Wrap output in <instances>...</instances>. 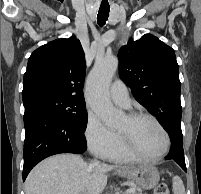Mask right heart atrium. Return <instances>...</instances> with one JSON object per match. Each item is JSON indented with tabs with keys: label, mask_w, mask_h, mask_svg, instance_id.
Here are the masks:
<instances>
[{
	"label": "right heart atrium",
	"mask_w": 201,
	"mask_h": 194,
	"mask_svg": "<svg viewBox=\"0 0 201 194\" xmlns=\"http://www.w3.org/2000/svg\"><path fill=\"white\" fill-rule=\"evenodd\" d=\"M84 137L89 149L97 156L105 158L116 146L118 134L109 129L100 118L89 112L87 115Z\"/></svg>",
	"instance_id": "1"
}]
</instances>
